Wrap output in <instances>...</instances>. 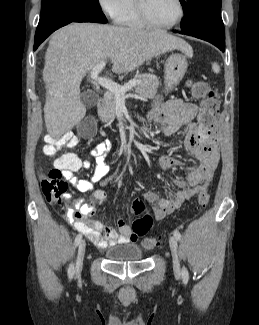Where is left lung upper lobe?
Here are the masks:
<instances>
[{
  "mask_svg": "<svg viewBox=\"0 0 259 325\" xmlns=\"http://www.w3.org/2000/svg\"><path fill=\"white\" fill-rule=\"evenodd\" d=\"M184 9L181 30H187L201 19L221 16V0H180Z\"/></svg>",
  "mask_w": 259,
  "mask_h": 325,
  "instance_id": "left-lung-upper-lobe-1",
  "label": "left lung upper lobe"
}]
</instances>
